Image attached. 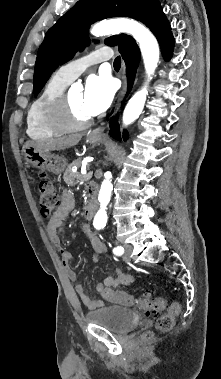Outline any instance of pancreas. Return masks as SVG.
I'll return each mask as SVG.
<instances>
[{"mask_svg": "<svg viewBox=\"0 0 221 379\" xmlns=\"http://www.w3.org/2000/svg\"><path fill=\"white\" fill-rule=\"evenodd\" d=\"M81 158L73 161L66 169L64 175H63V179H64V182L68 185V186H74L76 183L79 182V180H83L84 179V176L81 175L79 172H72V167L73 166H78L80 167L81 165Z\"/></svg>", "mask_w": 221, "mask_h": 379, "instance_id": "cf45deb5", "label": "pancreas"}]
</instances>
